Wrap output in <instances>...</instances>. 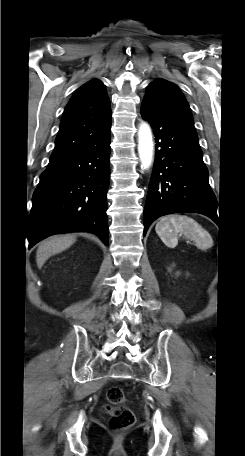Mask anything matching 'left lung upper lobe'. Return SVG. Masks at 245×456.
<instances>
[{"label":"left lung upper lobe","instance_id":"1","mask_svg":"<svg viewBox=\"0 0 245 456\" xmlns=\"http://www.w3.org/2000/svg\"><path fill=\"white\" fill-rule=\"evenodd\" d=\"M143 101L163 113L178 116L194 124L188 102L172 82L161 78L154 80L148 85Z\"/></svg>","mask_w":245,"mask_h":456}]
</instances>
